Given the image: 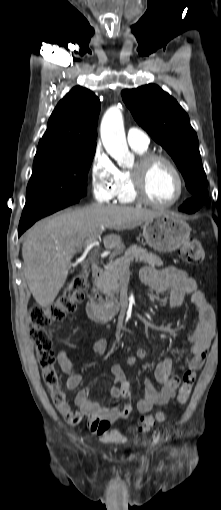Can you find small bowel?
<instances>
[{
    "mask_svg": "<svg viewBox=\"0 0 221 510\" xmlns=\"http://www.w3.org/2000/svg\"><path fill=\"white\" fill-rule=\"evenodd\" d=\"M143 284L156 291H168L170 293V304L173 308L178 307L186 295H190L192 302L197 307L198 313L196 323L189 336L190 357L182 366V372L197 371L202 368L210 347V342L215 334V317L212 307L206 302L205 295L198 280L190 276L186 271L176 267L167 266L164 268L145 267L141 271ZM107 340L100 339L94 342L92 350L99 354H105ZM158 349V346H150L139 349L127 359L128 365H134L137 360L146 357L151 351ZM57 362L63 373L67 375L65 386L68 389H75L81 385L82 375L74 368L67 353V349H61L57 354ZM173 362L165 359L159 362L151 376L145 379L143 397L136 403V409L140 414L148 413L153 406H162L171 401L180 383V378L172 374ZM114 377L109 389L112 397L123 396L128 392L130 396V385L120 365L115 364L111 368ZM160 385V389L157 388ZM75 403L78 410H73L65 400L58 408L60 414L70 425H78L86 416L87 427L93 434L104 435L111 423L123 417V409L132 411L130 404L112 408L104 407L98 401L91 399V390L84 387L76 395Z\"/></svg>",
    "mask_w": 221,
    "mask_h": 510,
    "instance_id": "small-bowel-1",
    "label": "small bowel"
}]
</instances>
